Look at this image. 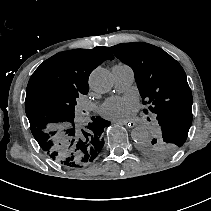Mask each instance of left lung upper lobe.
Instances as JSON below:
<instances>
[{"label":"left lung upper lobe","mask_w":211,"mask_h":211,"mask_svg":"<svg viewBox=\"0 0 211 211\" xmlns=\"http://www.w3.org/2000/svg\"><path fill=\"white\" fill-rule=\"evenodd\" d=\"M108 49L133 69L143 104L161 129L157 138L141 145V150L152 157L177 152L185 143L192 123L193 98L183 68L151 44L124 43ZM148 110L144 113L148 114Z\"/></svg>","instance_id":"obj_1"}]
</instances>
